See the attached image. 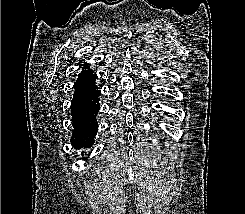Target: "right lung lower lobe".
Instances as JSON below:
<instances>
[{"mask_svg": "<svg viewBox=\"0 0 245 214\" xmlns=\"http://www.w3.org/2000/svg\"><path fill=\"white\" fill-rule=\"evenodd\" d=\"M96 78L84 80L80 75L74 84L71 103L74 131L71 143L76 149L91 147L98 131L96 116L101 92L95 85Z\"/></svg>", "mask_w": 245, "mask_h": 214, "instance_id": "right-lung-lower-lobe-1", "label": "right lung lower lobe"}]
</instances>
